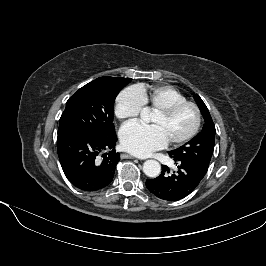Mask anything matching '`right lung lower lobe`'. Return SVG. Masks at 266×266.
Here are the masks:
<instances>
[{
  "instance_id": "right-lung-lower-lobe-1",
  "label": "right lung lower lobe",
  "mask_w": 266,
  "mask_h": 266,
  "mask_svg": "<svg viewBox=\"0 0 266 266\" xmlns=\"http://www.w3.org/2000/svg\"><path fill=\"white\" fill-rule=\"evenodd\" d=\"M116 141L115 133L106 137L82 132L59 134L57 151L65 176L83 191L105 188L111 183L120 160V154L114 150ZM109 149L99 159L98 155Z\"/></svg>"
}]
</instances>
